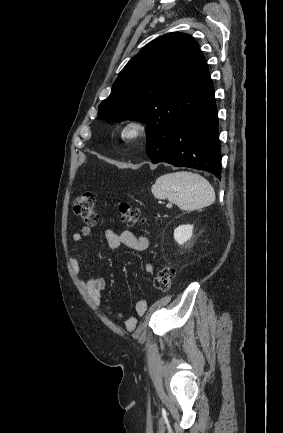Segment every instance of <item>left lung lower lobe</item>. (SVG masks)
<instances>
[{
    "label": "left lung lower lobe",
    "instance_id": "obj_1",
    "mask_svg": "<svg viewBox=\"0 0 283 433\" xmlns=\"http://www.w3.org/2000/svg\"><path fill=\"white\" fill-rule=\"evenodd\" d=\"M200 86L201 103L191 116L160 125L147 134V155L152 163L205 170L221 179V155L214 88L206 68Z\"/></svg>",
    "mask_w": 283,
    "mask_h": 433
}]
</instances>
